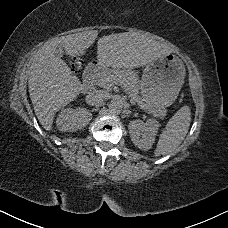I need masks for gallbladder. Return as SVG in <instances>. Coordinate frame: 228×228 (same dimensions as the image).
<instances>
[{"label":"gallbladder","instance_id":"bac80fb5","mask_svg":"<svg viewBox=\"0 0 228 228\" xmlns=\"http://www.w3.org/2000/svg\"><path fill=\"white\" fill-rule=\"evenodd\" d=\"M63 52H64L63 47L60 46V45H58V46L56 47V49H55V54H56V55H59V56H62V55H63Z\"/></svg>","mask_w":228,"mask_h":228}]
</instances>
